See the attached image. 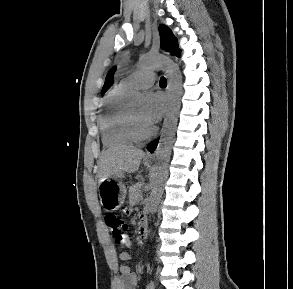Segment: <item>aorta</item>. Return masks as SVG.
Instances as JSON below:
<instances>
[{
  "label": "aorta",
  "instance_id": "762f6f07",
  "mask_svg": "<svg viewBox=\"0 0 293 289\" xmlns=\"http://www.w3.org/2000/svg\"><path fill=\"white\" fill-rule=\"evenodd\" d=\"M139 68L142 70L161 68L165 71L169 83V109L165 120L163 135L156 152L155 173L150 195V210L154 213L162 197L163 186L168 176V165L177 128L183 92L182 75L179 67L171 60L164 57L144 55L139 60ZM130 100L135 104H140L144 101V95L140 92H132Z\"/></svg>",
  "mask_w": 293,
  "mask_h": 289
}]
</instances>
